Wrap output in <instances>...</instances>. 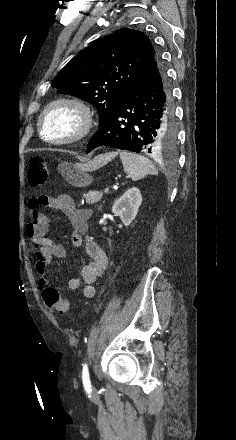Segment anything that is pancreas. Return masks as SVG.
Listing matches in <instances>:
<instances>
[{
  "instance_id": "1",
  "label": "pancreas",
  "mask_w": 236,
  "mask_h": 440,
  "mask_svg": "<svg viewBox=\"0 0 236 440\" xmlns=\"http://www.w3.org/2000/svg\"><path fill=\"white\" fill-rule=\"evenodd\" d=\"M103 193L99 191H89L84 194V198L87 204H95L102 199Z\"/></svg>"
}]
</instances>
